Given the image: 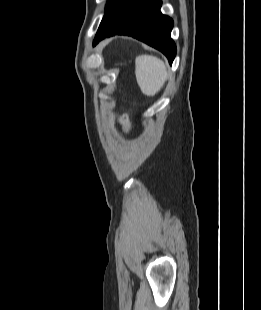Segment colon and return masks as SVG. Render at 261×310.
<instances>
[{
	"label": "colon",
	"mask_w": 261,
	"mask_h": 310,
	"mask_svg": "<svg viewBox=\"0 0 261 310\" xmlns=\"http://www.w3.org/2000/svg\"><path fill=\"white\" fill-rule=\"evenodd\" d=\"M119 122H120L123 130L125 132H129V130H130V122H129L128 116L126 114L122 115L119 118Z\"/></svg>",
	"instance_id": "5ec220e1"
}]
</instances>
